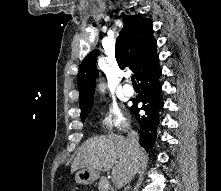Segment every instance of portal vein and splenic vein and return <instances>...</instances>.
<instances>
[{
  "instance_id": "obj_1",
  "label": "portal vein and splenic vein",
  "mask_w": 221,
  "mask_h": 191,
  "mask_svg": "<svg viewBox=\"0 0 221 191\" xmlns=\"http://www.w3.org/2000/svg\"><path fill=\"white\" fill-rule=\"evenodd\" d=\"M106 187H107V188L109 187V183L106 185Z\"/></svg>"
}]
</instances>
